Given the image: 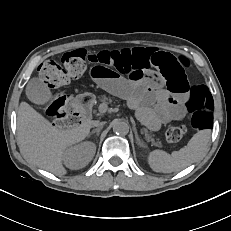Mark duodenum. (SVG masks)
<instances>
[{"mask_svg": "<svg viewBox=\"0 0 231 231\" xmlns=\"http://www.w3.org/2000/svg\"><path fill=\"white\" fill-rule=\"evenodd\" d=\"M78 108L81 114L82 122H87L91 118L92 101L88 97H83L78 100Z\"/></svg>", "mask_w": 231, "mask_h": 231, "instance_id": "410a0bca", "label": "duodenum"}]
</instances>
